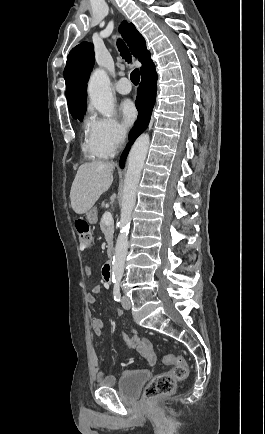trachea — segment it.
<instances>
[{
  "mask_svg": "<svg viewBox=\"0 0 265 434\" xmlns=\"http://www.w3.org/2000/svg\"><path fill=\"white\" fill-rule=\"evenodd\" d=\"M117 45L121 57L124 58L126 62L131 63V55L124 42H122V40H118ZM130 78L134 85H138L140 80V72L138 68H135V70H133V72L130 75Z\"/></svg>",
  "mask_w": 265,
  "mask_h": 434,
  "instance_id": "3493384b",
  "label": "trachea"
}]
</instances>
